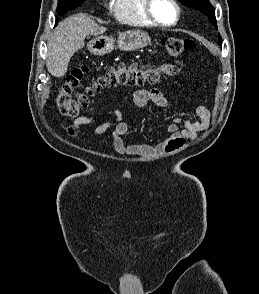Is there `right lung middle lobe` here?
I'll return each instance as SVG.
<instances>
[{
    "label": "right lung middle lobe",
    "mask_w": 259,
    "mask_h": 294,
    "mask_svg": "<svg viewBox=\"0 0 259 294\" xmlns=\"http://www.w3.org/2000/svg\"><path fill=\"white\" fill-rule=\"evenodd\" d=\"M85 0H58L57 13L58 15H64L68 11L75 9L82 5ZM58 22V20H56Z\"/></svg>",
    "instance_id": "obj_1"
}]
</instances>
